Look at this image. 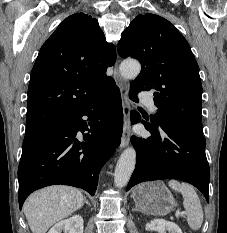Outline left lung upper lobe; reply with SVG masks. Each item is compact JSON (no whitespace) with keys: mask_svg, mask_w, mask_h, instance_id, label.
Segmentation results:
<instances>
[{"mask_svg":"<svg viewBox=\"0 0 227 233\" xmlns=\"http://www.w3.org/2000/svg\"><path fill=\"white\" fill-rule=\"evenodd\" d=\"M118 53L142 64L130 90L154 92L158 110L150 117L152 126L168 120L203 135L199 67L174 25L158 15H138L122 33Z\"/></svg>","mask_w":227,"mask_h":233,"instance_id":"left-lung-upper-lobe-1","label":"left lung upper lobe"}]
</instances>
